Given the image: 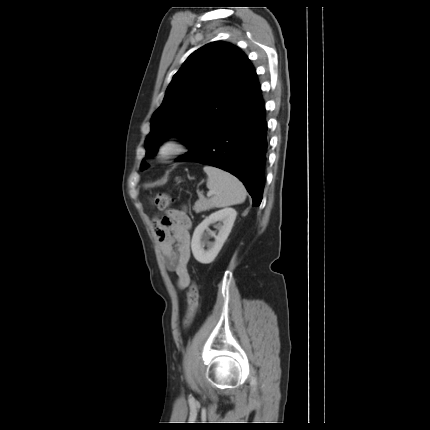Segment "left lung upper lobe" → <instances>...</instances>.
Instances as JSON below:
<instances>
[{
	"mask_svg": "<svg viewBox=\"0 0 430 430\" xmlns=\"http://www.w3.org/2000/svg\"><path fill=\"white\" fill-rule=\"evenodd\" d=\"M254 66L236 46L215 41L193 52L173 76L151 119L146 156L165 138L178 135L190 146L198 130L222 120L259 88ZM149 165L143 159L141 170Z\"/></svg>",
	"mask_w": 430,
	"mask_h": 430,
	"instance_id": "1",
	"label": "left lung upper lobe"
}]
</instances>
